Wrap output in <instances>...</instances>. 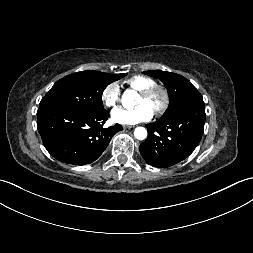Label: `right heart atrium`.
<instances>
[{"label": "right heart atrium", "instance_id": "right-heart-atrium-1", "mask_svg": "<svg viewBox=\"0 0 253 253\" xmlns=\"http://www.w3.org/2000/svg\"><path fill=\"white\" fill-rule=\"evenodd\" d=\"M121 99L120 86L116 82L107 84L101 92V100L106 107L115 108Z\"/></svg>", "mask_w": 253, "mask_h": 253}]
</instances>
